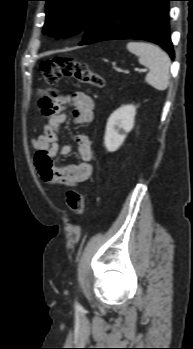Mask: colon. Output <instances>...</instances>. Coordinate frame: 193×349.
I'll use <instances>...</instances> for the list:
<instances>
[{
	"label": "colon",
	"mask_w": 193,
	"mask_h": 349,
	"mask_svg": "<svg viewBox=\"0 0 193 349\" xmlns=\"http://www.w3.org/2000/svg\"><path fill=\"white\" fill-rule=\"evenodd\" d=\"M41 72L46 87L39 91V106L45 113H52L58 101L59 94L53 86L63 78H73L78 82L89 84L96 88L104 86V78L100 73L92 71L86 63L79 62L69 56H57L41 63ZM67 203L77 215L85 212V199L81 192L69 190Z\"/></svg>",
	"instance_id": "obj_1"
}]
</instances>
